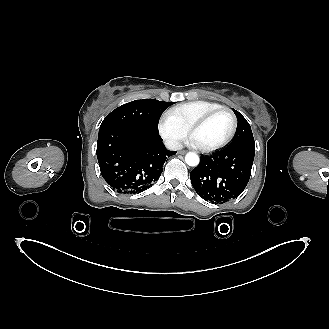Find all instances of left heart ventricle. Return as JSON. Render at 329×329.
I'll return each mask as SVG.
<instances>
[{
	"label": "left heart ventricle",
	"instance_id": "obj_1",
	"mask_svg": "<svg viewBox=\"0 0 329 329\" xmlns=\"http://www.w3.org/2000/svg\"><path fill=\"white\" fill-rule=\"evenodd\" d=\"M232 120L228 113L222 112L211 118L192 135L196 145L211 146L223 141L229 134Z\"/></svg>",
	"mask_w": 329,
	"mask_h": 329
}]
</instances>
